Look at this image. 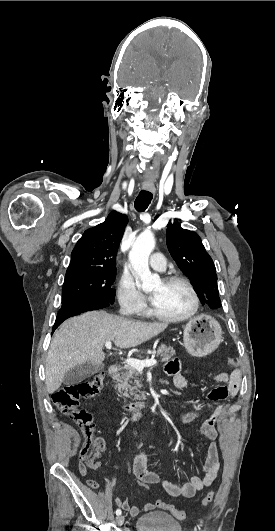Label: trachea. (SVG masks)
I'll list each match as a JSON object with an SVG mask.
<instances>
[{
    "instance_id": "3493384b",
    "label": "trachea",
    "mask_w": 275,
    "mask_h": 531,
    "mask_svg": "<svg viewBox=\"0 0 275 531\" xmlns=\"http://www.w3.org/2000/svg\"><path fill=\"white\" fill-rule=\"evenodd\" d=\"M152 201V193L142 190L135 200V209L139 212L145 211Z\"/></svg>"
}]
</instances>
